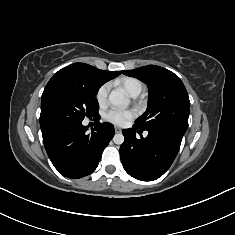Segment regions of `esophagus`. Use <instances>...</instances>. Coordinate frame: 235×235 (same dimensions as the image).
I'll return each instance as SVG.
<instances>
[{
	"mask_svg": "<svg viewBox=\"0 0 235 235\" xmlns=\"http://www.w3.org/2000/svg\"><path fill=\"white\" fill-rule=\"evenodd\" d=\"M114 130H115V133H120L121 132V128H119V127H115Z\"/></svg>",
	"mask_w": 235,
	"mask_h": 235,
	"instance_id": "34e87169",
	"label": "esophagus"
}]
</instances>
